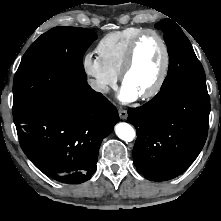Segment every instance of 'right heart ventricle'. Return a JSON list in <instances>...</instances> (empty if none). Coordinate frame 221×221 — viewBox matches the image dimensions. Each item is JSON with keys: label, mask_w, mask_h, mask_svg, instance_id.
Wrapping results in <instances>:
<instances>
[{"label": "right heart ventricle", "mask_w": 221, "mask_h": 221, "mask_svg": "<svg viewBox=\"0 0 221 221\" xmlns=\"http://www.w3.org/2000/svg\"><path fill=\"white\" fill-rule=\"evenodd\" d=\"M143 30L127 27L107 33L98 42L96 51L99 58L112 73L119 75L131 41Z\"/></svg>", "instance_id": "right-heart-ventricle-1"}]
</instances>
